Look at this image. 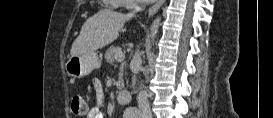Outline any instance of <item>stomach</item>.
I'll return each instance as SVG.
<instances>
[{
  "label": "stomach",
  "mask_w": 273,
  "mask_h": 118,
  "mask_svg": "<svg viewBox=\"0 0 273 118\" xmlns=\"http://www.w3.org/2000/svg\"><path fill=\"white\" fill-rule=\"evenodd\" d=\"M101 66V59L96 52L71 56L66 63V71L70 77L83 78Z\"/></svg>",
  "instance_id": "1"
}]
</instances>
